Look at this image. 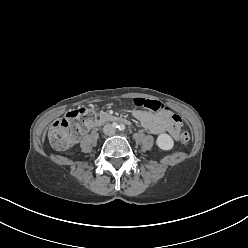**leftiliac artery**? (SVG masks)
<instances>
[{
  "label": "left iliac artery",
  "mask_w": 248,
  "mask_h": 248,
  "mask_svg": "<svg viewBox=\"0 0 248 248\" xmlns=\"http://www.w3.org/2000/svg\"><path fill=\"white\" fill-rule=\"evenodd\" d=\"M119 130L124 131L125 130V126L124 125L119 126Z\"/></svg>",
  "instance_id": "1"
}]
</instances>
